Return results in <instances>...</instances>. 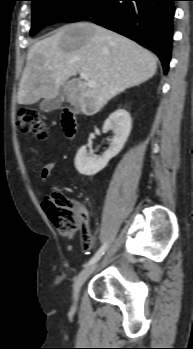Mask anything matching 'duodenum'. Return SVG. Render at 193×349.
Here are the masks:
<instances>
[{
  "mask_svg": "<svg viewBox=\"0 0 193 349\" xmlns=\"http://www.w3.org/2000/svg\"><path fill=\"white\" fill-rule=\"evenodd\" d=\"M65 135L72 138L77 132V123L74 113L71 110H64L61 121Z\"/></svg>",
  "mask_w": 193,
  "mask_h": 349,
  "instance_id": "duodenum-1",
  "label": "duodenum"
}]
</instances>
